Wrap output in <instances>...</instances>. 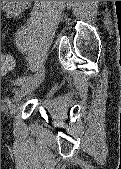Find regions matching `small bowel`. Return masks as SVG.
I'll return each mask as SVG.
<instances>
[{
    "mask_svg": "<svg viewBox=\"0 0 121 169\" xmlns=\"http://www.w3.org/2000/svg\"><path fill=\"white\" fill-rule=\"evenodd\" d=\"M30 1H3L6 13L10 16L17 15Z\"/></svg>",
    "mask_w": 121,
    "mask_h": 169,
    "instance_id": "small-bowel-1",
    "label": "small bowel"
}]
</instances>
